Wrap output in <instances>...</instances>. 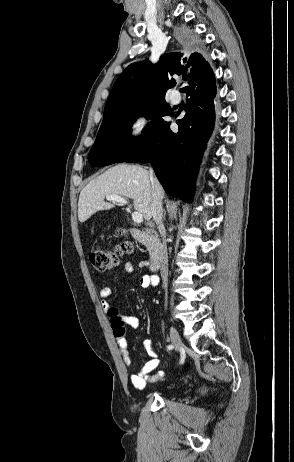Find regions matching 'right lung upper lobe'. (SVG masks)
Segmentation results:
<instances>
[{"label":"right lung upper lobe","mask_w":294,"mask_h":462,"mask_svg":"<svg viewBox=\"0 0 294 462\" xmlns=\"http://www.w3.org/2000/svg\"><path fill=\"white\" fill-rule=\"evenodd\" d=\"M182 54L169 53L162 55L160 61L153 65L148 59L130 64L118 77L107 100L104 118L124 112L150 99H165V93L175 86L172 75L188 73V85L200 82L213 74L209 63L200 53H193L187 60Z\"/></svg>","instance_id":"1"}]
</instances>
